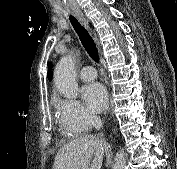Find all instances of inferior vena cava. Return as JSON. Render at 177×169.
<instances>
[{"label": "inferior vena cava", "instance_id": "602c4592", "mask_svg": "<svg viewBox=\"0 0 177 169\" xmlns=\"http://www.w3.org/2000/svg\"><path fill=\"white\" fill-rule=\"evenodd\" d=\"M91 121L93 126L95 127L96 130H100L101 126H102V121L100 118H98L97 116H92L91 117Z\"/></svg>", "mask_w": 177, "mask_h": 169}]
</instances>
